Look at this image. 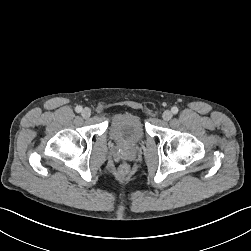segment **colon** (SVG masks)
<instances>
[{
  "mask_svg": "<svg viewBox=\"0 0 251 251\" xmlns=\"http://www.w3.org/2000/svg\"><path fill=\"white\" fill-rule=\"evenodd\" d=\"M128 172V165L126 164H121L119 167V173L124 175Z\"/></svg>",
  "mask_w": 251,
  "mask_h": 251,
  "instance_id": "1",
  "label": "colon"
}]
</instances>
